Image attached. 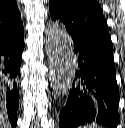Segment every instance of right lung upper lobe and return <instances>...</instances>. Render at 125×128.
I'll return each mask as SVG.
<instances>
[{
  "label": "right lung upper lobe",
  "mask_w": 125,
  "mask_h": 128,
  "mask_svg": "<svg viewBox=\"0 0 125 128\" xmlns=\"http://www.w3.org/2000/svg\"><path fill=\"white\" fill-rule=\"evenodd\" d=\"M22 26L16 0H0V36L11 33Z\"/></svg>",
  "instance_id": "1"
}]
</instances>
